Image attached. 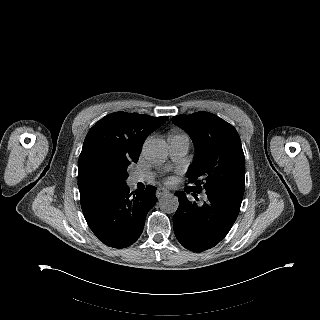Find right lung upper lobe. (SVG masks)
I'll use <instances>...</instances> for the list:
<instances>
[{
	"label": "right lung upper lobe",
	"instance_id": "1",
	"mask_svg": "<svg viewBox=\"0 0 320 320\" xmlns=\"http://www.w3.org/2000/svg\"><path fill=\"white\" fill-rule=\"evenodd\" d=\"M166 119L117 112L96 123L88 132L79 157V190L105 184L104 172L137 162L145 139Z\"/></svg>",
	"mask_w": 320,
	"mask_h": 320
}]
</instances>
